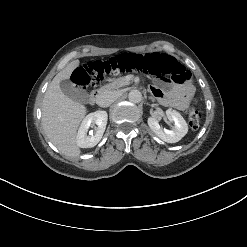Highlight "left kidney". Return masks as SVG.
Segmentation results:
<instances>
[{
  "instance_id": "obj_1",
  "label": "left kidney",
  "mask_w": 247,
  "mask_h": 247,
  "mask_svg": "<svg viewBox=\"0 0 247 247\" xmlns=\"http://www.w3.org/2000/svg\"><path fill=\"white\" fill-rule=\"evenodd\" d=\"M166 116L170 122H173L170 130L162 128L155 117L148 118V125L150 129L163 141L167 143H176L187 134L188 125L181 114L175 110L168 109L166 111Z\"/></svg>"
}]
</instances>
